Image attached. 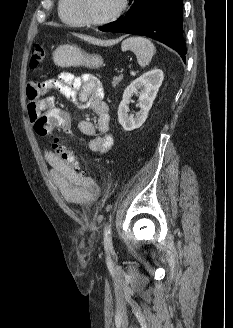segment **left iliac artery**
I'll return each instance as SVG.
<instances>
[{"mask_svg":"<svg viewBox=\"0 0 233 328\" xmlns=\"http://www.w3.org/2000/svg\"><path fill=\"white\" fill-rule=\"evenodd\" d=\"M104 248L106 250H112L113 248L110 225H106L104 229Z\"/></svg>","mask_w":233,"mask_h":328,"instance_id":"44dca946","label":"left iliac artery"}]
</instances>
